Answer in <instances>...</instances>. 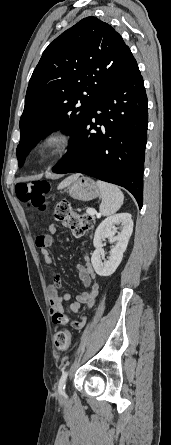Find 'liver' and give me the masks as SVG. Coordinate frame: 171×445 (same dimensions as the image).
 Returning <instances> with one entry per match:
<instances>
[{
    "instance_id": "liver-1",
    "label": "liver",
    "mask_w": 171,
    "mask_h": 445,
    "mask_svg": "<svg viewBox=\"0 0 171 445\" xmlns=\"http://www.w3.org/2000/svg\"><path fill=\"white\" fill-rule=\"evenodd\" d=\"M77 177H78L77 175L69 177L68 179H66V180L61 184V186H62V187H65V186L69 185L71 182H73L74 180H76Z\"/></svg>"
}]
</instances>
